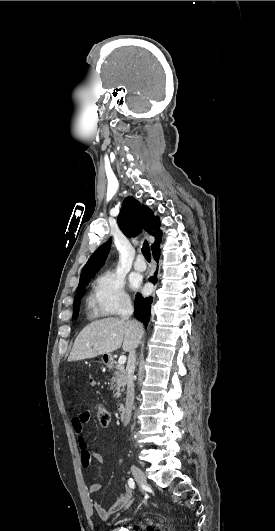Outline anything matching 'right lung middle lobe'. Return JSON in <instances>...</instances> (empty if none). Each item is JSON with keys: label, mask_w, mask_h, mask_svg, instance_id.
<instances>
[{"label": "right lung middle lobe", "mask_w": 275, "mask_h": 531, "mask_svg": "<svg viewBox=\"0 0 275 531\" xmlns=\"http://www.w3.org/2000/svg\"><path fill=\"white\" fill-rule=\"evenodd\" d=\"M89 280L87 282H85L84 284H82L78 289H77V295L75 296V300H74V303H73V319H77L78 317V313H79V306H80V299L82 298V296L84 295V292H85V287L86 285L88 284Z\"/></svg>", "instance_id": "right-lung-middle-lobe-1"}]
</instances>
